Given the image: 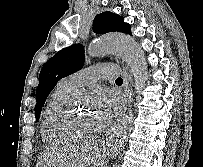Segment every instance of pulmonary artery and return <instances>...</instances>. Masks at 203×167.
Masks as SVG:
<instances>
[{"mask_svg": "<svg viewBox=\"0 0 203 167\" xmlns=\"http://www.w3.org/2000/svg\"><path fill=\"white\" fill-rule=\"evenodd\" d=\"M120 72L118 66L113 64H97L86 67L65 77L62 82L75 89L83 88L93 84L98 79H109L116 77Z\"/></svg>", "mask_w": 203, "mask_h": 167, "instance_id": "1", "label": "pulmonary artery"}]
</instances>
